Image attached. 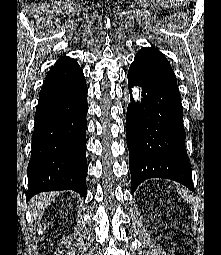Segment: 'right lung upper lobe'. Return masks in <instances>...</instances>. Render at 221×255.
Returning <instances> with one entry per match:
<instances>
[{"label": "right lung upper lobe", "mask_w": 221, "mask_h": 255, "mask_svg": "<svg viewBox=\"0 0 221 255\" xmlns=\"http://www.w3.org/2000/svg\"><path fill=\"white\" fill-rule=\"evenodd\" d=\"M66 59H68V58L62 57V58H60V59L56 62V64H58V63H60V62H62V61H64V60H66ZM56 64H55V65H56Z\"/></svg>", "instance_id": "1"}]
</instances>
